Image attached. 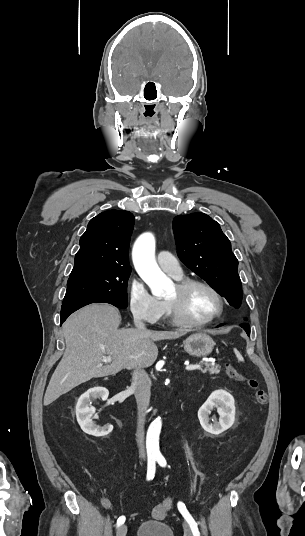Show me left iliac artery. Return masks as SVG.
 I'll return each instance as SVG.
<instances>
[{"label":"left iliac artery","mask_w":305,"mask_h":536,"mask_svg":"<svg viewBox=\"0 0 305 536\" xmlns=\"http://www.w3.org/2000/svg\"><path fill=\"white\" fill-rule=\"evenodd\" d=\"M157 462L162 467L166 466V460H165V458L163 456H157ZM178 508H179V511L181 512V514L183 515V517L189 523L193 535L194 536H200V533H199V530H198V527H197V523L195 522L193 517L189 514V512L187 511L185 505L182 502H179L178 503Z\"/></svg>","instance_id":"left-iliac-artery-1"}]
</instances>
